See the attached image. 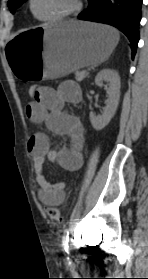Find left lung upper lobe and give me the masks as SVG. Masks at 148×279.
<instances>
[{"mask_svg":"<svg viewBox=\"0 0 148 279\" xmlns=\"http://www.w3.org/2000/svg\"><path fill=\"white\" fill-rule=\"evenodd\" d=\"M27 0H9L8 1V7L10 11L13 13L15 9H17L20 5H22L23 2Z\"/></svg>","mask_w":148,"mask_h":279,"instance_id":"left-lung-upper-lobe-1","label":"left lung upper lobe"}]
</instances>
